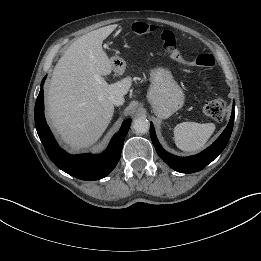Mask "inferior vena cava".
Masks as SVG:
<instances>
[{
    "instance_id": "1",
    "label": "inferior vena cava",
    "mask_w": 261,
    "mask_h": 261,
    "mask_svg": "<svg viewBox=\"0 0 261 261\" xmlns=\"http://www.w3.org/2000/svg\"><path fill=\"white\" fill-rule=\"evenodd\" d=\"M109 100L115 106H120L124 103V97L122 95H110Z\"/></svg>"
}]
</instances>
